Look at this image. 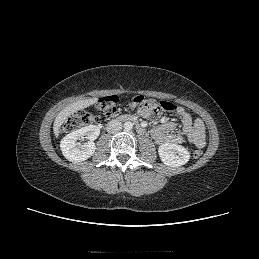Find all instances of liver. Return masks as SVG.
<instances>
[{
    "label": "liver",
    "mask_w": 259,
    "mask_h": 259,
    "mask_svg": "<svg viewBox=\"0 0 259 259\" xmlns=\"http://www.w3.org/2000/svg\"><path fill=\"white\" fill-rule=\"evenodd\" d=\"M97 102V98H89L84 100H79L71 103L69 106L65 107L55 118L53 123V132L56 137L59 136L60 128L62 124L67 120L69 116L76 113L79 110L87 108Z\"/></svg>",
    "instance_id": "obj_1"
}]
</instances>
